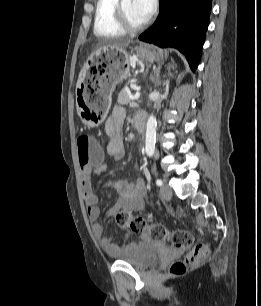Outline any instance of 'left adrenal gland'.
I'll return each instance as SVG.
<instances>
[{
    "label": "left adrenal gland",
    "mask_w": 261,
    "mask_h": 306,
    "mask_svg": "<svg viewBox=\"0 0 261 306\" xmlns=\"http://www.w3.org/2000/svg\"><path fill=\"white\" fill-rule=\"evenodd\" d=\"M171 68H173L174 69V64H169L168 66H167V70H168V72H170V70H171Z\"/></svg>",
    "instance_id": "1"
}]
</instances>
